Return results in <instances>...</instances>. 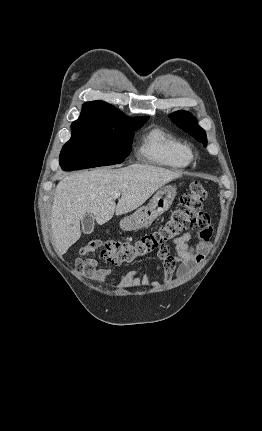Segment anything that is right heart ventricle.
Wrapping results in <instances>:
<instances>
[{"label":"right heart ventricle","mask_w":262,"mask_h":431,"mask_svg":"<svg viewBox=\"0 0 262 431\" xmlns=\"http://www.w3.org/2000/svg\"><path fill=\"white\" fill-rule=\"evenodd\" d=\"M139 153L147 161L171 169H184L192 160L191 149L185 142L158 127L145 135Z\"/></svg>","instance_id":"obj_1"}]
</instances>
